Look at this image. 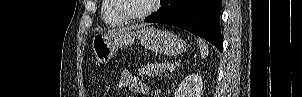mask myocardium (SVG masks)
Here are the masks:
<instances>
[{"label": "myocardium", "mask_w": 302, "mask_h": 97, "mask_svg": "<svg viewBox=\"0 0 302 97\" xmlns=\"http://www.w3.org/2000/svg\"><path fill=\"white\" fill-rule=\"evenodd\" d=\"M111 2L113 10L118 16H120L126 21H138L150 16L156 10L158 1L151 0V4L149 5V7L145 11L138 14H129L123 11L120 7L119 0H111Z\"/></svg>", "instance_id": "myocardium-1"}]
</instances>
